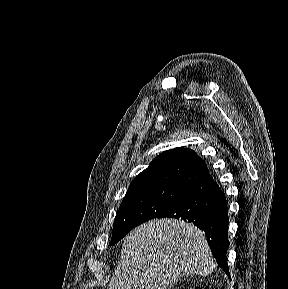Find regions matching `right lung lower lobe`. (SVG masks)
<instances>
[{"mask_svg":"<svg viewBox=\"0 0 288 289\" xmlns=\"http://www.w3.org/2000/svg\"><path fill=\"white\" fill-rule=\"evenodd\" d=\"M162 217L188 220L202 229L218 265L229 275L226 259L229 246L227 201L209 173L186 190L181 200L158 216Z\"/></svg>","mask_w":288,"mask_h":289,"instance_id":"98d812e1","label":"right lung lower lobe"}]
</instances>
